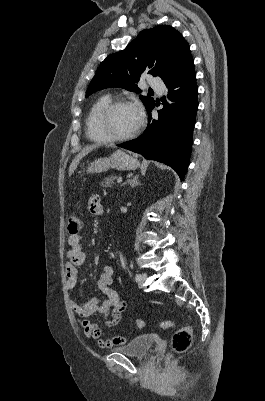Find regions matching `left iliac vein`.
Masks as SVG:
<instances>
[{
	"instance_id": "obj_1",
	"label": "left iliac vein",
	"mask_w": 265,
	"mask_h": 401,
	"mask_svg": "<svg viewBox=\"0 0 265 401\" xmlns=\"http://www.w3.org/2000/svg\"><path fill=\"white\" fill-rule=\"evenodd\" d=\"M146 278L147 275L145 273L138 274V283L142 286Z\"/></svg>"
}]
</instances>
